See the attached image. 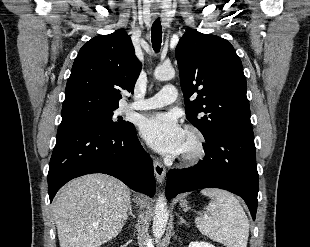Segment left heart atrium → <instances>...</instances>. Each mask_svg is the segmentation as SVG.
Here are the masks:
<instances>
[{
  "label": "left heart atrium",
  "instance_id": "left-heart-atrium-1",
  "mask_svg": "<svg viewBox=\"0 0 310 247\" xmlns=\"http://www.w3.org/2000/svg\"><path fill=\"white\" fill-rule=\"evenodd\" d=\"M142 136L157 151L176 155L182 150L185 132L173 113H156L145 119Z\"/></svg>",
  "mask_w": 310,
  "mask_h": 247
}]
</instances>
